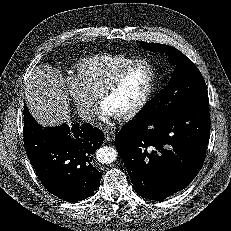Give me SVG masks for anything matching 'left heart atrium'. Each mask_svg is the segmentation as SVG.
Listing matches in <instances>:
<instances>
[{
  "label": "left heart atrium",
  "mask_w": 231,
  "mask_h": 231,
  "mask_svg": "<svg viewBox=\"0 0 231 231\" xmlns=\"http://www.w3.org/2000/svg\"><path fill=\"white\" fill-rule=\"evenodd\" d=\"M100 114H101L102 118H104V119H111V118L115 117V115L104 105H102V107H101Z\"/></svg>",
  "instance_id": "1"
}]
</instances>
